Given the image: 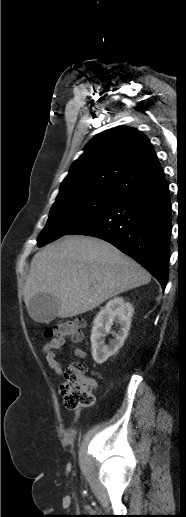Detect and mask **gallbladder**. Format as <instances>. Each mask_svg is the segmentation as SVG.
Here are the masks:
<instances>
[{
	"instance_id": "1",
	"label": "gallbladder",
	"mask_w": 186,
	"mask_h": 517,
	"mask_svg": "<svg viewBox=\"0 0 186 517\" xmlns=\"http://www.w3.org/2000/svg\"><path fill=\"white\" fill-rule=\"evenodd\" d=\"M58 302L49 294H37L29 302L28 313L34 320L49 323L57 316Z\"/></svg>"
}]
</instances>
